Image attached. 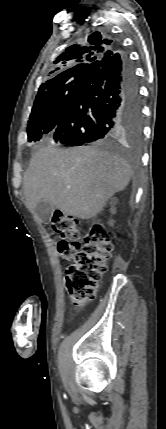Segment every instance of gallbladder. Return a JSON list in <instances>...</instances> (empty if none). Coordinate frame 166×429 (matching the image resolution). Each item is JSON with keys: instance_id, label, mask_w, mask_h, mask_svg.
<instances>
[{"instance_id": "gallbladder-1", "label": "gallbladder", "mask_w": 166, "mask_h": 429, "mask_svg": "<svg viewBox=\"0 0 166 429\" xmlns=\"http://www.w3.org/2000/svg\"><path fill=\"white\" fill-rule=\"evenodd\" d=\"M54 209L55 207L49 202L41 201L36 205L35 213L38 215L41 222L46 224L50 221Z\"/></svg>"}]
</instances>
